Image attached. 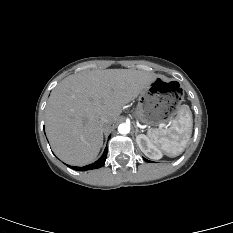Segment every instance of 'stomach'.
Instances as JSON below:
<instances>
[{"label": "stomach", "mask_w": 233, "mask_h": 233, "mask_svg": "<svg viewBox=\"0 0 233 233\" xmlns=\"http://www.w3.org/2000/svg\"><path fill=\"white\" fill-rule=\"evenodd\" d=\"M183 96V88L177 79L156 76L141 92L135 117L148 126L163 124L176 114L175 107Z\"/></svg>", "instance_id": "stomach-1"}]
</instances>
